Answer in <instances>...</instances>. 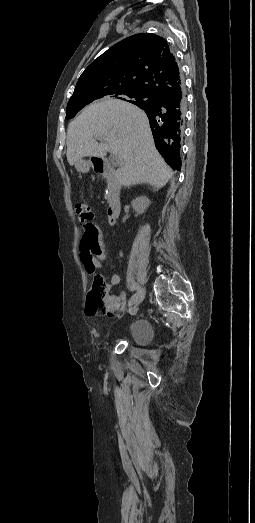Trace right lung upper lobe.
<instances>
[{
  "mask_svg": "<svg viewBox=\"0 0 255 523\" xmlns=\"http://www.w3.org/2000/svg\"><path fill=\"white\" fill-rule=\"evenodd\" d=\"M144 92L146 100L135 101L145 111L156 144L165 161L174 169L181 166L180 142L186 106L184 82L179 65L168 43L150 33L130 36L113 45L81 74L68 105L89 104L125 92ZM179 96L178 128L170 144L158 140L157 124L152 118L154 106L166 98Z\"/></svg>",
  "mask_w": 255,
  "mask_h": 523,
  "instance_id": "cb5924a9",
  "label": "right lung upper lobe"
}]
</instances>
